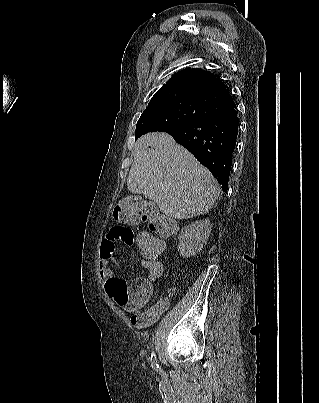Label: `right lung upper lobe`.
<instances>
[{
  "instance_id": "cb5924a9",
  "label": "right lung upper lobe",
  "mask_w": 319,
  "mask_h": 403,
  "mask_svg": "<svg viewBox=\"0 0 319 403\" xmlns=\"http://www.w3.org/2000/svg\"><path fill=\"white\" fill-rule=\"evenodd\" d=\"M178 102L197 104L211 113L236 107L222 81L202 69H186L175 74L155 93L148 106Z\"/></svg>"
}]
</instances>
